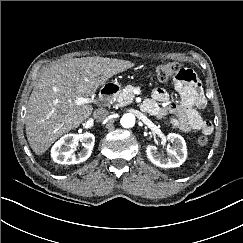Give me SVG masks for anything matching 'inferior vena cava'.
Wrapping results in <instances>:
<instances>
[{"instance_id":"obj_1","label":"inferior vena cava","mask_w":243,"mask_h":243,"mask_svg":"<svg viewBox=\"0 0 243 243\" xmlns=\"http://www.w3.org/2000/svg\"><path fill=\"white\" fill-rule=\"evenodd\" d=\"M109 115V112L107 109L104 108H98L93 112V117L96 121L101 122L104 121Z\"/></svg>"}]
</instances>
